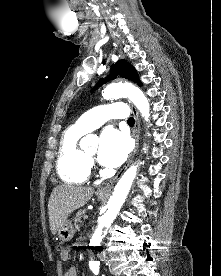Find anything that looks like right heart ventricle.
<instances>
[{"label":"right heart ventricle","instance_id":"obj_1","mask_svg":"<svg viewBox=\"0 0 221 276\" xmlns=\"http://www.w3.org/2000/svg\"><path fill=\"white\" fill-rule=\"evenodd\" d=\"M83 134L84 132L74 126L67 129L61 137L57 157V172L66 183L82 184L89 178L90 161L78 145Z\"/></svg>","mask_w":221,"mask_h":276}]
</instances>
